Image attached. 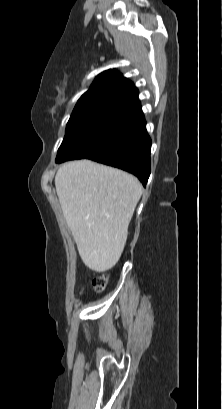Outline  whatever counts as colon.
<instances>
[{
  "label": "colon",
  "mask_w": 222,
  "mask_h": 409,
  "mask_svg": "<svg viewBox=\"0 0 222 409\" xmlns=\"http://www.w3.org/2000/svg\"><path fill=\"white\" fill-rule=\"evenodd\" d=\"M92 285L96 291L98 292L103 291L107 285V277L102 275L94 278L92 280Z\"/></svg>",
  "instance_id": "colon-1"
}]
</instances>
